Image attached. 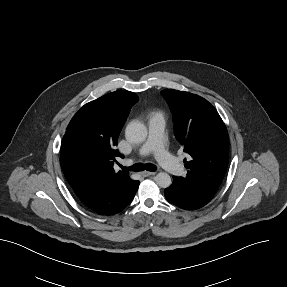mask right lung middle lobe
I'll return each instance as SVG.
<instances>
[{"mask_svg": "<svg viewBox=\"0 0 287 287\" xmlns=\"http://www.w3.org/2000/svg\"><path fill=\"white\" fill-rule=\"evenodd\" d=\"M83 154L84 150L79 141L66 131L61 143V159L76 160Z\"/></svg>", "mask_w": 287, "mask_h": 287, "instance_id": "dd1d6c3e", "label": "right lung middle lobe"}]
</instances>
